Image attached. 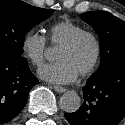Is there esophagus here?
Here are the masks:
<instances>
[{"instance_id":"obj_1","label":"esophagus","mask_w":125,"mask_h":125,"mask_svg":"<svg viewBox=\"0 0 125 125\" xmlns=\"http://www.w3.org/2000/svg\"><path fill=\"white\" fill-rule=\"evenodd\" d=\"M53 88H54L55 91H57L59 93H63V92L66 91V89L64 87L58 86V85H54Z\"/></svg>"}]
</instances>
